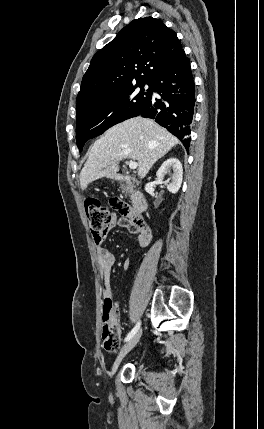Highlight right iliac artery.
<instances>
[{"instance_id": "obj_1", "label": "right iliac artery", "mask_w": 264, "mask_h": 429, "mask_svg": "<svg viewBox=\"0 0 264 429\" xmlns=\"http://www.w3.org/2000/svg\"><path fill=\"white\" fill-rule=\"evenodd\" d=\"M139 328H140V322H138L136 326L129 332V334L125 338V341H129L136 334Z\"/></svg>"}]
</instances>
